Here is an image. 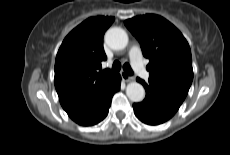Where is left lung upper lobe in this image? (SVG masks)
Returning <instances> with one entry per match:
<instances>
[{
  "instance_id": "left-lung-upper-lobe-1",
  "label": "left lung upper lobe",
  "mask_w": 230,
  "mask_h": 155,
  "mask_svg": "<svg viewBox=\"0 0 230 155\" xmlns=\"http://www.w3.org/2000/svg\"><path fill=\"white\" fill-rule=\"evenodd\" d=\"M126 27L150 60L149 81L184 100L193 80L192 56L182 33L165 18L146 14L128 19Z\"/></svg>"
}]
</instances>
